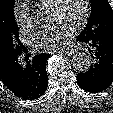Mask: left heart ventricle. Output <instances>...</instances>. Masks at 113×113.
Here are the masks:
<instances>
[{
	"label": "left heart ventricle",
	"mask_w": 113,
	"mask_h": 113,
	"mask_svg": "<svg viewBox=\"0 0 113 113\" xmlns=\"http://www.w3.org/2000/svg\"><path fill=\"white\" fill-rule=\"evenodd\" d=\"M83 13L82 0H64L60 9L51 8L48 22L64 21L72 26L80 19Z\"/></svg>",
	"instance_id": "obj_1"
}]
</instances>
